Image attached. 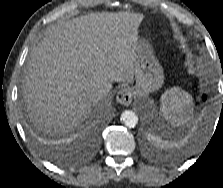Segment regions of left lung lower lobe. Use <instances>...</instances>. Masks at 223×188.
<instances>
[{
  "instance_id": "obj_1",
  "label": "left lung lower lobe",
  "mask_w": 223,
  "mask_h": 188,
  "mask_svg": "<svg viewBox=\"0 0 223 188\" xmlns=\"http://www.w3.org/2000/svg\"><path fill=\"white\" fill-rule=\"evenodd\" d=\"M203 100H204V101L206 100V95H203Z\"/></svg>"
}]
</instances>
